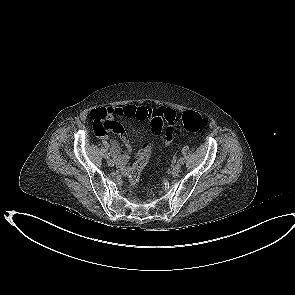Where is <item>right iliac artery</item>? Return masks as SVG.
<instances>
[{
	"label": "right iliac artery",
	"mask_w": 295,
	"mask_h": 295,
	"mask_svg": "<svg viewBox=\"0 0 295 295\" xmlns=\"http://www.w3.org/2000/svg\"><path fill=\"white\" fill-rule=\"evenodd\" d=\"M107 158H108V159L110 158V153H108V156H107Z\"/></svg>",
	"instance_id": "right-iliac-artery-1"
}]
</instances>
